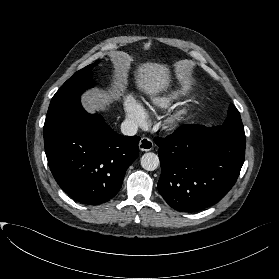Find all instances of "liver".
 Masks as SVG:
<instances>
[{
	"instance_id": "6515ba94",
	"label": "liver",
	"mask_w": 279,
	"mask_h": 279,
	"mask_svg": "<svg viewBox=\"0 0 279 279\" xmlns=\"http://www.w3.org/2000/svg\"><path fill=\"white\" fill-rule=\"evenodd\" d=\"M117 72L120 79L124 78L130 68L128 61H118ZM137 87L149 95H156L166 89L170 82V70L168 65L155 62H146L137 67L136 73ZM85 107L88 111L104 110L108 103L107 94L94 95L87 94L85 97Z\"/></svg>"
}]
</instances>
